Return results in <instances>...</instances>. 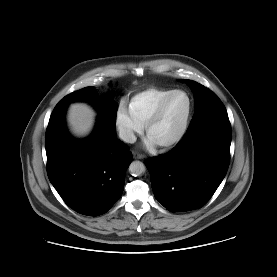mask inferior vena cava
Returning a JSON list of instances; mask_svg holds the SVG:
<instances>
[{
    "label": "inferior vena cava",
    "instance_id": "1",
    "mask_svg": "<svg viewBox=\"0 0 277 277\" xmlns=\"http://www.w3.org/2000/svg\"><path fill=\"white\" fill-rule=\"evenodd\" d=\"M119 137L127 143H134L137 139L132 131L125 128L119 130Z\"/></svg>",
    "mask_w": 277,
    "mask_h": 277
}]
</instances>
